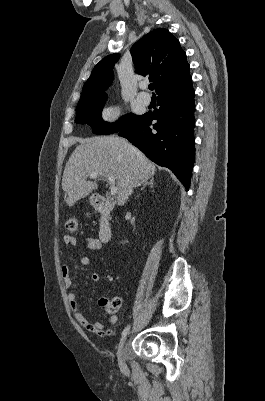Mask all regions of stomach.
Wrapping results in <instances>:
<instances>
[{"instance_id": "1", "label": "stomach", "mask_w": 265, "mask_h": 401, "mask_svg": "<svg viewBox=\"0 0 265 401\" xmlns=\"http://www.w3.org/2000/svg\"><path fill=\"white\" fill-rule=\"evenodd\" d=\"M90 203H92V205H93V201H92V198H91V201H90Z\"/></svg>"}]
</instances>
